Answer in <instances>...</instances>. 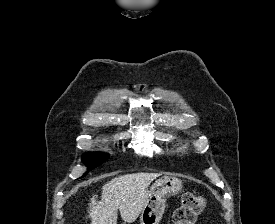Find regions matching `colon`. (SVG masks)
Listing matches in <instances>:
<instances>
[{
  "mask_svg": "<svg viewBox=\"0 0 275 224\" xmlns=\"http://www.w3.org/2000/svg\"><path fill=\"white\" fill-rule=\"evenodd\" d=\"M206 202L202 196L185 193L181 197V205L172 215L173 224H194L197 216L203 212Z\"/></svg>",
  "mask_w": 275,
  "mask_h": 224,
  "instance_id": "obj_1",
  "label": "colon"
}]
</instances>
